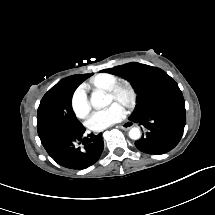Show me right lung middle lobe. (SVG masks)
Segmentation results:
<instances>
[{
    "label": "right lung middle lobe",
    "instance_id": "right-lung-middle-lobe-1",
    "mask_svg": "<svg viewBox=\"0 0 215 215\" xmlns=\"http://www.w3.org/2000/svg\"><path fill=\"white\" fill-rule=\"evenodd\" d=\"M88 77L79 75L67 77L58 82L44 95L37 113L38 133L48 129L85 130L75 117L71 99L78 85Z\"/></svg>",
    "mask_w": 215,
    "mask_h": 215
}]
</instances>
